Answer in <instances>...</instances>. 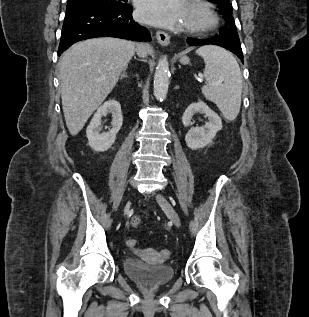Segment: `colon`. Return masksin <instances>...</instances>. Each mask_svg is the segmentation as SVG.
Returning a JSON list of instances; mask_svg holds the SVG:
<instances>
[{"label":"colon","mask_w":309,"mask_h":317,"mask_svg":"<svg viewBox=\"0 0 309 317\" xmlns=\"http://www.w3.org/2000/svg\"><path fill=\"white\" fill-rule=\"evenodd\" d=\"M141 223V219L137 216H134L132 219H131V225L133 227H137L139 226ZM137 244V241L135 239H128L127 241V245L131 248L135 247Z\"/></svg>","instance_id":"5ec220e1"}]
</instances>
